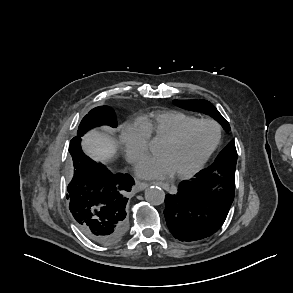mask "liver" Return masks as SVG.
<instances>
[{
	"label": "liver",
	"instance_id": "obj_1",
	"mask_svg": "<svg viewBox=\"0 0 293 293\" xmlns=\"http://www.w3.org/2000/svg\"><path fill=\"white\" fill-rule=\"evenodd\" d=\"M82 148L93 160L106 162L116 153L117 144L108 134L92 130L82 138Z\"/></svg>",
	"mask_w": 293,
	"mask_h": 293
}]
</instances>
